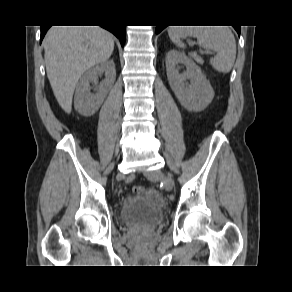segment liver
<instances>
[{"label":"liver","mask_w":292,"mask_h":292,"mask_svg":"<svg viewBox=\"0 0 292 292\" xmlns=\"http://www.w3.org/2000/svg\"><path fill=\"white\" fill-rule=\"evenodd\" d=\"M43 46L53 93L61 108L70 113L79 78L111 56L113 35L99 26H53L47 32Z\"/></svg>","instance_id":"6515ba94"}]
</instances>
